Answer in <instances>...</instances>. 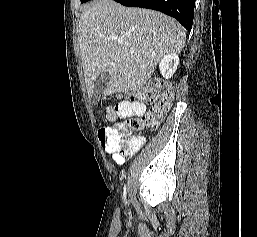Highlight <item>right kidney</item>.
<instances>
[{
  "label": "right kidney",
  "instance_id": "obj_1",
  "mask_svg": "<svg viewBox=\"0 0 257 237\" xmlns=\"http://www.w3.org/2000/svg\"><path fill=\"white\" fill-rule=\"evenodd\" d=\"M178 65H179V56L175 52L167 53L159 61V69L162 76L165 79H169L175 73Z\"/></svg>",
  "mask_w": 257,
  "mask_h": 237
}]
</instances>
